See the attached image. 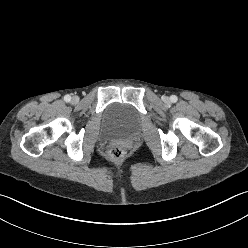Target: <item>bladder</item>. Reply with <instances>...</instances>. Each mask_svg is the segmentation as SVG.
I'll list each match as a JSON object with an SVG mask.
<instances>
[{
	"label": "bladder",
	"mask_w": 248,
	"mask_h": 248,
	"mask_svg": "<svg viewBox=\"0 0 248 248\" xmlns=\"http://www.w3.org/2000/svg\"><path fill=\"white\" fill-rule=\"evenodd\" d=\"M139 114L123 103H112L103 112L102 127L108 136L126 135L137 128Z\"/></svg>",
	"instance_id": "obj_1"
}]
</instances>
